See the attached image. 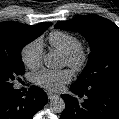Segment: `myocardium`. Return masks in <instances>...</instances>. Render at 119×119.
<instances>
[{
	"label": "myocardium",
	"mask_w": 119,
	"mask_h": 119,
	"mask_svg": "<svg viewBox=\"0 0 119 119\" xmlns=\"http://www.w3.org/2000/svg\"><path fill=\"white\" fill-rule=\"evenodd\" d=\"M64 58L68 67L75 72H79L86 66L89 54L87 49L82 44H79L70 52L64 54Z\"/></svg>",
	"instance_id": "f54148a6"
}]
</instances>
